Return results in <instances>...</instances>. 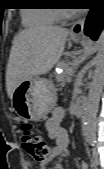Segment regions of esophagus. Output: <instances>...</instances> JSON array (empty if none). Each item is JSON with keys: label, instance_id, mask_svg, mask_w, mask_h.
<instances>
[{"label": "esophagus", "instance_id": "esophagus-1", "mask_svg": "<svg viewBox=\"0 0 104 169\" xmlns=\"http://www.w3.org/2000/svg\"><path fill=\"white\" fill-rule=\"evenodd\" d=\"M86 16L76 21L71 27L70 34L73 36H79L83 33L85 26Z\"/></svg>", "mask_w": 104, "mask_h": 169}]
</instances>
